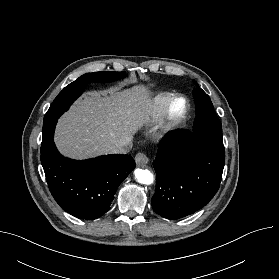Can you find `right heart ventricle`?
I'll use <instances>...</instances> for the list:
<instances>
[{
  "label": "right heart ventricle",
  "mask_w": 279,
  "mask_h": 279,
  "mask_svg": "<svg viewBox=\"0 0 279 279\" xmlns=\"http://www.w3.org/2000/svg\"><path fill=\"white\" fill-rule=\"evenodd\" d=\"M174 96V94L169 92H162L157 94L150 102L148 109V119L151 122L157 121L163 113V110L168 103V101Z\"/></svg>",
  "instance_id": "obj_1"
}]
</instances>
